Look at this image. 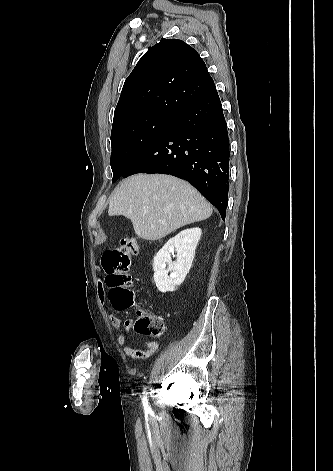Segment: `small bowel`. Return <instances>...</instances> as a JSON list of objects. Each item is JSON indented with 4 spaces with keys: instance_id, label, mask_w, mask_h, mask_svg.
I'll use <instances>...</instances> for the list:
<instances>
[{
    "instance_id": "small-bowel-1",
    "label": "small bowel",
    "mask_w": 333,
    "mask_h": 471,
    "mask_svg": "<svg viewBox=\"0 0 333 471\" xmlns=\"http://www.w3.org/2000/svg\"><path fill=\"white\" fill-rule=\"evenodd\" d=\"M97 293H98V298L101 301V303H104L106 300V295H105V290L104 286L101 281L98 282L97 286ZM109 320L112 324V326L120 331V333L117 336V343L121 346H123L126 342V334L131 331L134 325V321L131 318H127L124 322L121 321V319L113 314L109 315ZM158 349V343L155 341H148L140 345V347H129L125 346L123 347V352L125 355L132 357V358H137V359H145L153 355Z\"/></svg>"
}]
</instances>
